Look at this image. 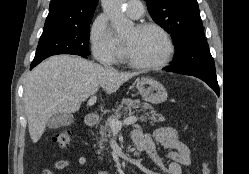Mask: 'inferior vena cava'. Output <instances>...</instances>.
<instances>
[{
	"instance_id": "inferior-vena-cava-1",
	"label": "inferior vena cava",
	"mask_w": 249,
	"mask_h": 174,
	"mask_svg": "<svg viewBox=\"0 0 249 174\" xmlns=\"http://www.w3.org/2000/svg\"><path fill=\"white\" fill-rule=\"evenodd\" d=\"M103 65L105 68H110V63H108V62H104Z\"/></svg>"
}]
</instances>
